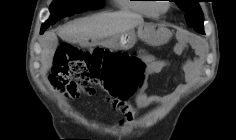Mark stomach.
Wrapping results in <instances>:
<instances>
[{
    "instance_id": "0dacf381",
    "label": "stomach",
    "mask_w": 236,
    "mask_h": 140,
    "mask_svg": "<svg viewBox=\"0 0 236 140\" xmlns=\"http://www.w3.org/2000/svg\"><path fill=\"white\" fill-rule=\"evenodd\" d=\"M107 38L102 43L114 49H128L131 48L138 36L143 41L151 45H162L166 43L171 37V31L162 24L145 23L139 26L137 34L134 30H129L123 34Z\"/></svg>"
}]
</instances>
